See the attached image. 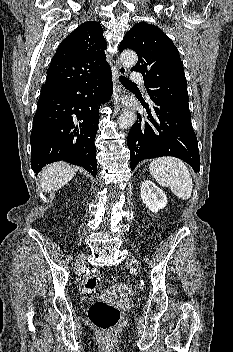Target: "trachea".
I'll return each instance as SVG.
<instances>
[{"label":"trachea","mask_w":233,"mask_h":352,"mask_svg":"<svg viewBox=\"0 0 233 352\" xmlns=\"http://www.w3.org/2000/svg\"><path fill=\"white\" fill-rule=\"evenodd\" d=\"M119 81L123 84V85H136L135 83L131 82L129 79H127L124 76H119Z\"/></svg>","instance_id":"obj_1"}]
</instances>
